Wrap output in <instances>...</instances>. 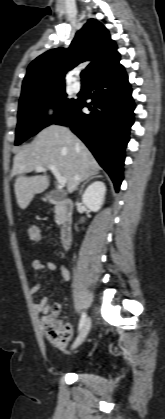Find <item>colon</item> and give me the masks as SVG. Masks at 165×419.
Masks as SVG:
<instances>
[{
	"instance_id": "colon-1",
	"label": "colon",
	"mask_w": 165,
	"mask_h": 419,
	"mask_svg": "<svg viewBox=\"0 0 165 419\" xmlns=\"http://www.w3.org/2000/svg\"><path fill=\"white\" fill-rule=\"evenodd\" d=\"M28 232L31 240L37 242L42 239V232L38 227H30ZM52 309L54 312H58L59 307L55 305ZM41 329L44 335L55 345H65L71 339L70 327L52 317L42 319Z\"/></svg>"
}]
</instances>
